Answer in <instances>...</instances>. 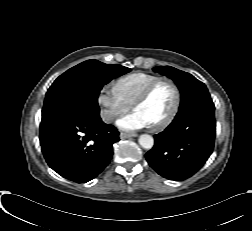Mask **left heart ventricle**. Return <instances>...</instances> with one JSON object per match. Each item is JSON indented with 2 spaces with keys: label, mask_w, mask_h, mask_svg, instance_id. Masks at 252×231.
I'll return each mask as SVG.
<instances>
[{
  "label": "left heart ventricle",
  "mask_w": 252,
  "mask_h": 231,
  "mask_svg": "<svg viewBox=\"0 0 252 231\" xmlns=\"http://www.w3.org/2000/svg\"><path fill=\"white\" fill-rule=\"evenodd\" d=\"M173 103L174 89L169 82L163 81L155 86L149 98L138 105L134 111L146 121L148 126H153L168 115Z\"/></svg>",
  "instance_id": "left-heart-ventricle-1"
}]
</instances>
